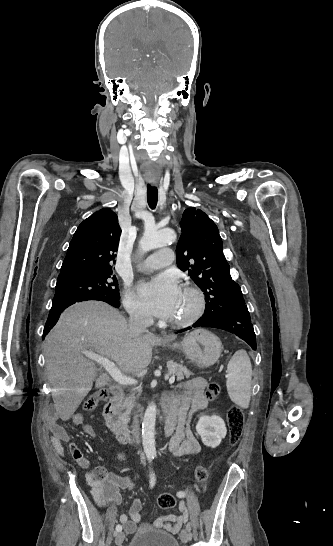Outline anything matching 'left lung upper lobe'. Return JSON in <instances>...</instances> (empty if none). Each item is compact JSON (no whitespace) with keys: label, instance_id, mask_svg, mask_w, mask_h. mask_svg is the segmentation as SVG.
Instances as JSON below:
<instances>
[{"label":"left lung upper lobe","instance_id":"left-lung-upper-lobe-1","mask_svg":"<svg viewBox=\"0 0 333 546\" xmlns=\"http://www.w3.org/2000/svg\"><path fill=\"white\" fill-rule=\"evenodd\" d=\"M180 225L176 263L204 292L205 313L245 305L240 286L231 278L216 224L191 207L184 211Z\"/></svg>","mask_w":333,"mask_h":546}]
</instances>
